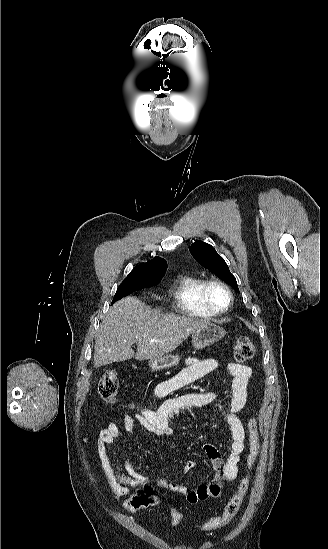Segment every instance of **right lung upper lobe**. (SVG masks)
Segmentation results:
<instances>
[{"label":"right lung upper lobe","instance_id":"1","mask_svg":"<svg viewBox=\"0 0 328 549\" xmlns=\"http://www.w3.org/2000/svg\"><path fill=\"white\" fill-rule=\"evenodd\" d=\"M144 268H150V269H156L160 271H166L167 264L166 261L160 257H154L152 260L148 261L147 263H141L135 268H133L132 272L143 270Z\"/></svg>","mask_w":328,"mask_h":549}]
</instances>
